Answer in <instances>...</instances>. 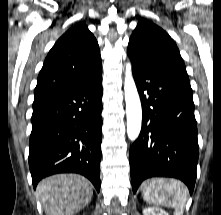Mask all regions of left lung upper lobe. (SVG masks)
Masks as SVG:
<instances>
[{
	"mask_svg": "<svg viewBox=\"0 0 221 215\" xmlns=\"http://www.w3.org/2000/svg\"><path fill=\"white\" fill-rule=\"evenodd\" d=\"M127 54L138 64L174 69L186 76V67L174 40L159 26L140 19L128 44Z\"/></svg>",
	"mask_w": 221,
	"mask_h": 215,
	"instance_id": "left-lung-upper-lobe-1",
	"label": "left lung upper lobe"
}]
</instances>
